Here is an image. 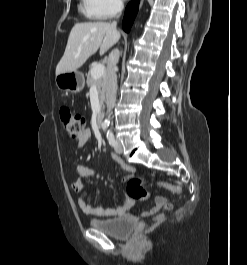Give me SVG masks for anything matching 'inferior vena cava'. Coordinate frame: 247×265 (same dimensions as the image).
<instances>
[{"mask_svg": "<svg viewBox=\"0 0 247 265\" xmlns=\"http://www.w3.org/2000/svg\"><path fill=\"white\" fill-rule=\"evenodd\" d=\"M116 7L118 11H121L123 8L122 0H116ZM113 27H116V21H113L111 24ZM119 60V50L114 49L109 55V61L107 64V91H106V104L108 112L112 110L116 101V91H117V75L115 66Z\"/></svg>", "mask_w": 247, "mask_h": 265, "instance_id": "602c4592", "label": "inferior vena cava"}]
</instances>
